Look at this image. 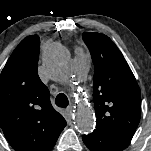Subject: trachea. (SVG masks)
Segmentation results:
<instances>
[{"instance_id": "obj_1", "label": "trachea", "mask_w": 151, "mask_h": 151, "mask_svg": "<svg viewBox=\"0 0 151 151\" xmlns=\"http://www.w3.org/2000/svg\"><path fill=\"white\" fill-rule=\"evenodd\" d=\"M55 103L59 107L66 108L69 104V101L65 94L60 93L57 95V97L55 99Z\"/></svg>"}]
</instances>
